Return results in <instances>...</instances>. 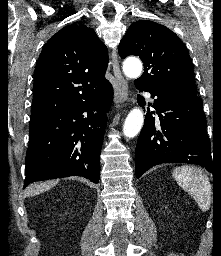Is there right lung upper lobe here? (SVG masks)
Wrapping results in <instances>:
<instances>
[{"instance_id":"right-lung-upper-lobe-1","label":"right lung upper lobe","mask_w":221,"mask_h":256,"mask_svg":"<svg viewBox=\"0 0 221 256\" xmlns=\"http://www.w3.org/2000/svg\"><path fill=\"white\" fill-rule=\"evenodd\" d=\"M108 50L92 28L72 24L44 45L34 72L31 120L94 97L111 86Z\"/></svg>"}]
</instances>
